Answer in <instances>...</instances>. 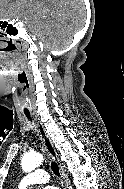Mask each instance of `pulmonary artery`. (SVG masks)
I'll list each match as a JSON object with an SVG mask.
<instances>
[{"label":"pulmonary artery","mask_w":124,"mask_h":189,"mask_svg":"<svg viewBox=\"0 0 124 189\" xmlns=\"http://www.w3.org/2000/svg\"><path fill=\"white\" fill-rule=\"evenodd\" d=\"M49 175L43 170H36L23 177L18 184L19 189H25L34 184L46 183L49 181Z\"/></svg>","instance_id":"pulmonary-artery-1"}]
</instances>
